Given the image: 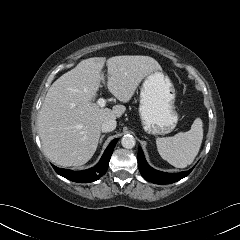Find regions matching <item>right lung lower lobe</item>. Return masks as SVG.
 Instances as JSON below:
<instances>
[{"label": "right lung lower lobe", "instance_id": "obj_1", "mask_svg": "<svg viewBox=\"0 0 240 240\" xmlns=\"http://www.w3.org/2000/svg\"><path fill=\"white\" fill-rule=\"evenodd\" d=\"M118 139H114L106 148L102 158L99 163L93 168L83 170V171H72L68 169H62L53 166L54 170L61 176L65 177L74 182L79 183H89L98 180L102 175H104L108 169V164L110 157L112 155L113 149L117 143Z\"/></svg>", "mask_w": 240, "mask_h": 240}]
</instances>
